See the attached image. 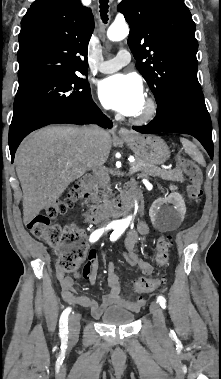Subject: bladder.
Here are the masks:
<instances>
[{"instance_id":"obj_1","label":"bladder","mask_w":221,"mask_h":379,"mask_svg":"<svg viewBox=\"0 0 221 379\" xmlns=\"http://www.w3.org/2000/svg\"><path fill=\"white\" fill-rule=\"evenodd\" d=\"M100 319L108 325H127L135 320V314L125 308L112 306L104 311Z\"/></svg>"}]
</instances>
